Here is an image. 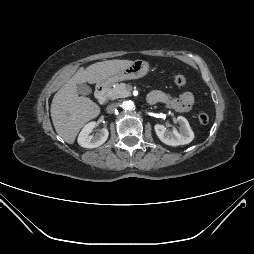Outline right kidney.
<instances>
[{"mask_svg":"<svg viewBox=\"0 0 254 254\" xmlns=\"http://www.w3.org/2000/svg\"><path fill=\"white\" fill-rule=\"evenodd\" d=\"M95 127H97L95 121H91L83 127L78 136V144L81 147L92 149L101 146L106 142L109 135L108 130L103 128L98 133L91 134Z\"/></svg>","mask_w":254,"mask_h":254,"instance_id":"right-kidney-1","label":"right kidney"}]
</instances>
